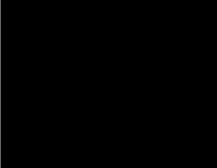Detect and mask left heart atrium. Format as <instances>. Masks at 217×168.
<instances>
[{
  "label": "left heart atrium",
  "instance_id": "left-heart-atrium-1",
  "mask_svg": "<svg viewBox=\"0 0 217 168\" xmlns=\"http://www.w3.org/2000/svg\"><path fill=\"white\" fill-rule=\"evenodd\" d=\"M118 79V77H114V76H109V77H105L102 81V83L107 86V85H111L113 83L116 82V80Z\"/></svg>",
  "mask_w": 217,
  "mask_h": 168
}]
</instances>
